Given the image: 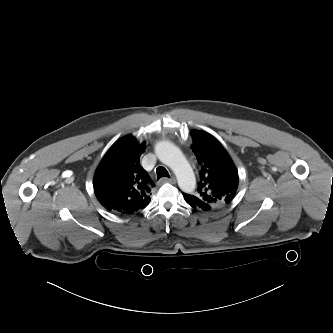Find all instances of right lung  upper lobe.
<instances>
[{
    "instance_id": "obj_1",
    "label": "right lung upper lobe",
    "mask_w": 333,
    "mask_h": 333,
    "mask_svg": "<svg viewBox=\"0 0 333 333\" xmlns=\"http://www.w3.org/2000/svg\"><path fill=\"white\" fill-rule=\"evenodd\" d=\"M145 142L138 144L132 136L116 141L101 160L93 181L99 202L119 214H132L150 202L154 186L139 163Z\"/></svg>"
}]
</instances>
